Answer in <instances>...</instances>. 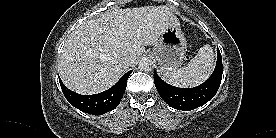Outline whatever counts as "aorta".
<instances>
[{
	"instance_id": "1",
	"label": "aorta",
	"mask_w": 276,
	"mask_h": 138,
	"mask_svg": "<svg viewBox=\"0 0 276 138\" xmlns=\"http://www.w3.org/2000/svg\"><path fill=\"white\" fill-rule=\"evenodd\" d=\"M153 68V61L148 58L144 57L139 61V69L144 72L151 71Z\"/></svg>"
}]
</instances>
